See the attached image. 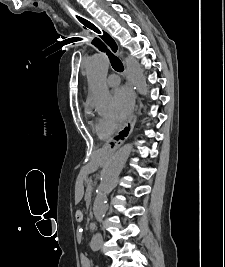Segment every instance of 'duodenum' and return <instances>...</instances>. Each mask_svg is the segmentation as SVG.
I'll use <instances>...</instances> for the list:
<instances>
[{
	"label": "duodenum",
	"instance_id": "410a0bca",
	"mask_svg": "<svg viewBox=\"0 0 225 267\" xmlns=\"http://www.w3.org/2000/svg\"><path fill=\"white\" fill-rule=\"evenodd\" d=\"M90 226H91L92 228H95V227H96V224H95V223H91Z\"/></svg>",
	"mask_w": 225,
	"mask_h": 267
}]
</instances>
